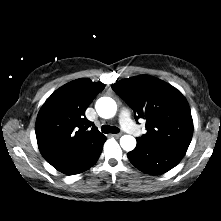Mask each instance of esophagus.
Instances as JSON below:
<instances>
[{
    "label": "esophagus",
    "instance_id": "obj_1",
    "mask_svg": "<svg viewBox=\"0 0 221 221\" xmlns=\"http://www.w3.org/2000/svg\"><path fill=\"white\" fill-rule=\"evenodd\" d=\"M112 136L115 137V138H119V137L122 136V133L112 134Z\"/></svg>",
    "mask_w": 221,
    "mask_h": 221
}]
</instances>
